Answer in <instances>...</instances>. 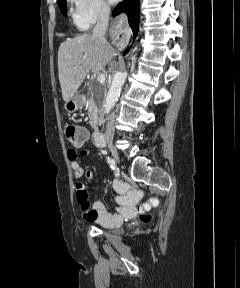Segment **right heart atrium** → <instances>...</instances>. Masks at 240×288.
Masks as SVG:
<instances>
[{"label": "right heart atrium", "mask_w": 240, "mask_h": 288, "mask_svg": "<svg viewBox=\"0 0 240 288\" xmlns=\"http://www.w3.org/2000/svg\"><path fill=\"white\" fill-rule=\"evenodd\" d=\"M75 12L74 19L78 26L86 28L106 19L109 8L104 0H71Z\"/></svg>", "instance_id": "d8ad5b80"}]
</instances>
